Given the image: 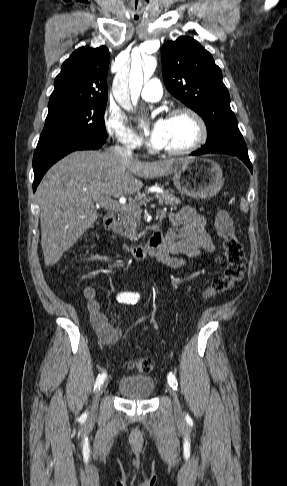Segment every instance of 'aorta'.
<instances>
[{"label":"aorta","instance_id":"762f6f07","mask_svg":"<svg viewBox=\"0 0 287 486\" xmlns=\"http://www.w3.org/2000/svg\"><path fill=\"white\" fill-rule=\"evenodd\" d=\"M157 66L155 58L151 57L142 66L139 61H132L130 74L120 72L115 77L113 83V94L118 103L125 109L131 108L130 99L134 102L137 100L144 78H150Z\"/></svg>","mask_w":287,"mask_h":486}]
</instances>
